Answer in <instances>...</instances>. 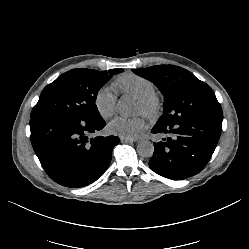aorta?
Listing matches in <instances>:
<instances>
[{"label":"aorta","mask_w":249,"mask_h":249,"mask_svg":"<svg viewBox=\"0 0 249 249\" xmlns=\"http://www.w3.org/2000/svg\"><path fill=\"white\" fill-rule=\"evenodd\" d=\"M117 108L122 115H129L132 112V105L126 99L119 100ZM137 152L141 157H151L154 153V145L148 140H142L137 145Z\"/></svg>","instance_id":"obj_1"}]
</instances>
